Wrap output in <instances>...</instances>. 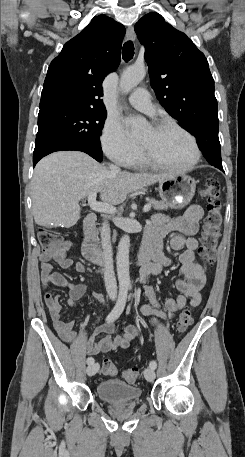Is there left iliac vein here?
<instances>
[{
    "label": "left iliac vein",
    "mask_w": 245,
    "mask_h": 457,
    "mask_svg": "<svg viewBox=\"0 0 245 457\" xmlns=\"http://www.w3.org/2000/svg\"><path fill=\"white\" fill-rule=\"evenodd\" d=\"M144 372H145V378L148 382H153L155 380L154 369L149 367V368H146Z\"/></svg>",
    "instance_id": "obj_1"
}]
</instances>
